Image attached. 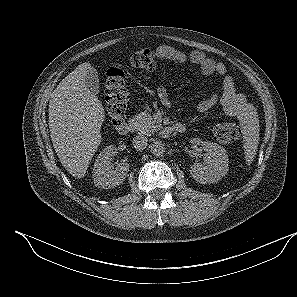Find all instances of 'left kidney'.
I'll return each mask as SVG.
<instances>
[{"label":"left kidney","mask_w":297,"mask_h":297,"mask_svg":"<svg viewBox=\"0 0 297 297\" xmlns=\"http://www.w3.org/2000/svg\"><path fill=\"white\" fill-rule=\"evenodd\" d=\"M191 143L201 145L205 151L203 163H194L190 167V174L197 182L215 183L227 174L229 159L222 146L200 138H193Z\"/></svg>","instance_id":"5707ae66"}]
</instances>
